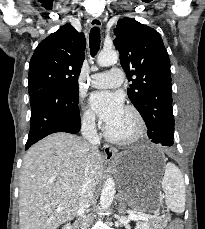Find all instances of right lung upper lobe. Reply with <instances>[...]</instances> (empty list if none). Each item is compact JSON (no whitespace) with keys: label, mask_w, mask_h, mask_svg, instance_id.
<instances>
[{"label":"right lung upper lobe","mask_w":205,"mask_h":229,"mask_svg":"<svg viewBox=\"0 0 205 229\" xmlns=\"http://www.w3.org/2000/svg\"><path fill=\"white\" fill-rule=\"evenodd\" d=\"M86 39L67 23L35 49L29 66V94L40 89L78 84Z\"/></svg>","instance_id":"cb5924a9"}]
</instances>
